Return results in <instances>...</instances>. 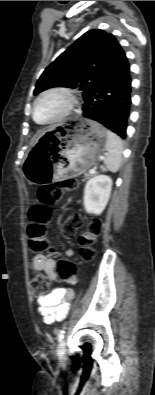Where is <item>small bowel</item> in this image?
Here are the masks:
<instances>
[{
	"mask_svg": "<svg viewBox=\"0 0 155 395\" xmlns=\"http://www.w3.org/2000/svg\"><path fill=\"white\" fill-rule=\"evenodd\" d=\"M66 256L71 257L72 251L67 250ZM32 266L36 271L44 272L52 281H59L57 272V260L45 253H38L34 256ZM74 297L71 288L57 287L48 294L39 296L38 312L43 317L46 324L62 320L70 307V303Z\"/></svg>",
	"mask_w": 155,
	"mask_h": 395,
	"instance_id": "1",
	"label": "small bowel"
}]
</instances>
